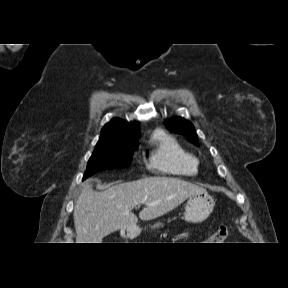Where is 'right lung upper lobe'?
<instances>
[{
    "mask_svg": "<svg viewBox=\"0 0 288 288\" xmlns=\"http://www.w3.org/2000/svg\"><path fill=\"white\" fill-rule=\"evenodd\" d=\"M139 135V124L126 122L120 118H113L101 130L99 141L114 137H123L129 140H136Z\"/></svg>",
    "mask_w": 288,
    "mask_h": 288,
    "instance_id": "cb5924a9",
    "label": "right lung upper lobe"
}]
</instances>
